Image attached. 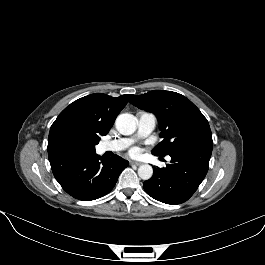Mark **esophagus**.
Instances as JSON below:
<instances>
[{"mask_svg": "<svg viewBox=\"0 0 265 265\" xmlns=\"http://www.w3.org/2000/svg\"><path fill=\"white\" fill-rule=\"evenodd\" d=\"M130 164L131 165H136V166H140L141 165L140 162H135V161H131Z\"/></svg>", "mask_w": 265, "mask_h": 265, "instance_id": "esophagus-1", "label": "esophagus"}]
</instances>
